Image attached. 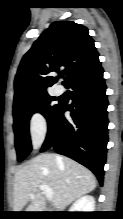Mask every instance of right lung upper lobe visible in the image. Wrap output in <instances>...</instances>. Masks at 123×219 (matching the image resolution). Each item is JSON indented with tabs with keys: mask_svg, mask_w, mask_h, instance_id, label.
Masks as SVG:
<instances>
[{
	"mask_svg": "<svg viewBox=\"0 0 123 219\" xmlns=\"http://www.w3.org/2000/svg\"><path fill=\"white\" fill-rule=\"evenodd\" d=\"M99 56L85 26L73 21H55L24 55L15 81L14 105L47 93L63 74L64 82Z\"/></svg>",
	"mask_w": 123,
	"mask_h": 219,
	"instance_id": "obj_1",
	"label": "right lung upper lobe"
}]
</instances>
